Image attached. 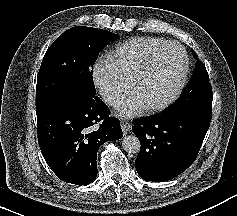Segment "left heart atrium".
I'll list each match as a JSON object with an SVG mask.
<instances>
[{
	"instance_id": "left-heart-atrium-1",
	"label": "left heart atrium",
	"mask_w": 237,
	"mask_h": 216,
	"mask_svg": "<svg viewBox=\"0 0 237 216\" xmlns=\"http://www.w3.org/2000/svg\"><path fill=\"white\" fill-rule=\"evenodd\" d=\"M138 112V105L133 100H126L122 103V114L126 117H133Z\"/></svg>"
}]
</instances>
